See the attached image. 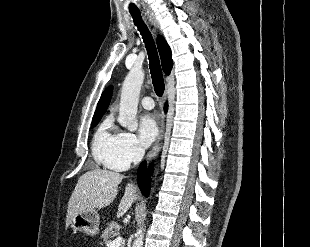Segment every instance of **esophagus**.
<instances>
[{
    "label": "esophagus",
    "mask_w": 310,
    "mask_h": 247,
    "mask_svg": "<svg viewBox=\"0 0 310 247\" xmlns=\"http://www.w3.org/2000/svg\"><path fill=\"white\" fill-rule=\"evenodd\" d=\"M149 20H150L151 24L154 25V27H156V24H155L153 17L150 16ZM166 98H167V92H165V94H164V100H166ZM164 135H165V125L162 124L159 137H158L157 142L155 143L154 147L152 148L148 159L154 158L159 153L161 146H162V141H163Z\"/></svg>",
    "instance_id": "obj_1"
}]
</instances>
